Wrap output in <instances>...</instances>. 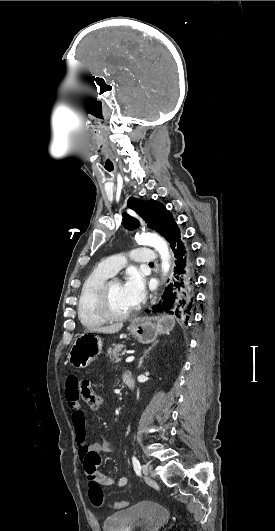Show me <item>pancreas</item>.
Masks as SVG:
<instances>
[{"label":"pancreas","instance_id":"1","mask_svg":"<svg viewBox=\"0 0 275 531\" xmlns=\"http://www.w3.org/2000/svg\"><path fill=\"white\" fill-rule=\"evenodd\" d=\"M122 349H124V345H116V343H114V345H112V347H109L108 349V355L107 357H110L111 361H115V363H118V361H121V359H119L120 357V353L122 351Z\"/></svg>","mask_w":275,"mask_h":531}]
</instances>
